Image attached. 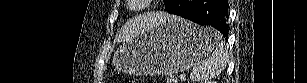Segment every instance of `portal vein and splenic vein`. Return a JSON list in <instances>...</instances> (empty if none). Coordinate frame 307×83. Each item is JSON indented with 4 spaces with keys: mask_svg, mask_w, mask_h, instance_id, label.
Segmentation results:
<instances>
[{
    "mask_svg": "<svg viewBox=\"0 0 307 83\" xmlns=\"http://www.w3.org/2000/svg\"><path fill=\"white\" fill-rule=\"evenodd\" d=\"M179 77H180V78H184V77H185V74L182 73V74L179 75Z\"/></svg>",
    "mask_w": 307,
    "mask_h": 83,
    "instance_id": "portal-vein-and-splenic-vein-1",
    "label": "portal vein and splenic vein"
}]
</instances>
